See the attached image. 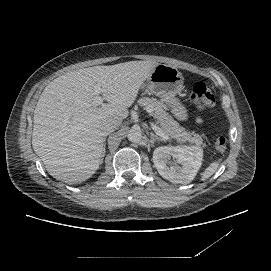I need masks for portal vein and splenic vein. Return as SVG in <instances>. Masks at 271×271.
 I'll return each instance as SVG.
<instances>
[{"label":"portal vein and splenic vein","mask_w":271,"mask_h":271,"mask_svg":"<svg viewBox=\"0 0 271 271\" xmlns=\"http://www.w3.org/2000/svg\"><path fill=\"white\" fill-rule=\"evenodd\" d=\"M94 89V97H93V104L94 105H101L104 102L103 96L101 95L103 93V90L101 88V85L99 83L95 84L93 87ZM154 131L158 136H160L162 139L172 142L173 138L166 135L160 128L154 127Z\"/></svg>","instance_id":"18ae733b"}]
</instances>
